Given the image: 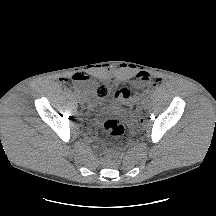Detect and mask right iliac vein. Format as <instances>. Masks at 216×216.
<instances>
[{
    "label": "right iliac vein",
    "instance_id": "1",
    "mask_svg": "<svg viewBox=\"0 0 216 216\" xmlns=\"http://www.w3.org/2000/svg\"><path fill=\"white\" fill-rule=\"evenodd\" d=\"M78 99H79V102H80V103H83V102H84V99H83L82 96H78Z\"/></svg>",
    "mask_w": 216,
    "mask_h": 216
}]
</instances>
